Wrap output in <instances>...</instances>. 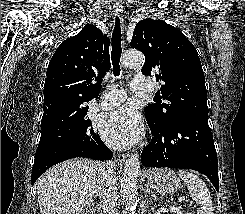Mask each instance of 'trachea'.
<instances>
[{
  "label": "trachea",
  "instance_id": "trachea-1",
  "mask_svg": "<svg viewBox=\"0 0 245 214\" xmlns=\"http://www.w3.org/2000/svg\"><path fill=\"white\" fill-rule=\"evenodd\" d=\"M121 28H120V20L116 17L115 26L112 34V52H111V60L113 65V72L115 76L120 75V58L122 53L121 48Z\"/></svg>",
  "mask_w": 245,
  "mask_h": 214
}]
</instances>
